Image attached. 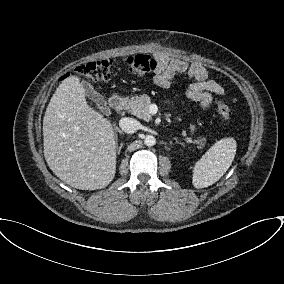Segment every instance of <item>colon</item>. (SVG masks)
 <instances>
[{"mask_svg":"<svg viewBox=\"0 0 284 284\" xmlns=\"http://www.w3.org/2000/svg\"><path fill=\"white\" fill-rule=\"evenodd\" d=\"M125 64L128 72L133 75L149 74L158 67V61L148 54L131 55L126 59ZM112 68L113 61L103 59L80 65L75 71L94 81H106L111 77ZM216 108L224 122L229 123L232 119L230 108L220 100L216 101Z\"/></svg>","mask_w":284,"mask_h":284,"instance_id":"obj_1","label":"colon"}]
</instances>
